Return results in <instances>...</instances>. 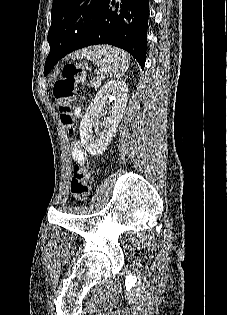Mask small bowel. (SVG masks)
Here are the masks:
<instances>
[{
	"label": "small bowel",
	"mask_w": 227,
	"mask_h": 315,
	"mask_svg": "<svg viewBox=\"0 0 227 315\" xmlns=\"http://www.w3.org/2000/svg\"><path fill=\"white\" fill-rule=\"evenodd\" d=\"M71 156L77 164H83L86 161V152L78 141L71 143Z\"/></svg>",
	"instance_id": "1"
}]
</instances>
